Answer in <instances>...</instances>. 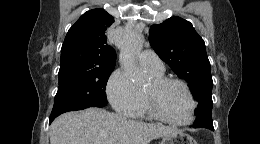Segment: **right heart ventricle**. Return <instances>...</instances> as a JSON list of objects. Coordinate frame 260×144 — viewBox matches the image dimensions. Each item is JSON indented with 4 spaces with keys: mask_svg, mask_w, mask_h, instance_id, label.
I'll return each instance as SVG.
<instances>
[{
    "mask_svg": "<svg viewBox=\"0 0 260 144\" xmlns=\"http://www.w3.org/2000/svg\"><path fill=\"white\" fill-rule=\"evenodd\" d=\"M148 72L153 76V78H158L163 76V72L158 73V72H153L151 70H148ZM135 88L138 95V104L130 116L135 118L149 116L150 114L145 101L144 89L140 87H135Z\"/></svg>",
    "mask_w": 260,
    "mask_h": 144,
    "instance_id": "1",
    "label": "right heart ventricle"
}]
</instances>
